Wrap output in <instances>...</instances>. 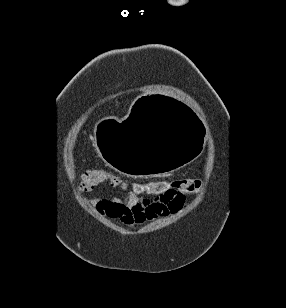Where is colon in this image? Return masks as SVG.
Instances as JSON below:
<instances>
[{
	"label": "colon",
	"instance_id": "5ec220e1",
	"mask_svg": "<svg viewBox=\"0 0 286 308\" xmlns=\"http://www.w3.org/2000/svg\"><path fill=\"white\" fill-rule=\"evenodd\" d=\"M109 183L114 187H122V179L118 175H114L105 169H92L84 172L80 176L78 189L86 192L95 187ZM202 187V183L198 179H181V180H158L144 184H137L135 190L137 192H147L155 196H165L171 190L194 193Z\"/></svg>",
	"mask_w": 286,
	"mask_h": 308
}]
</instances>
